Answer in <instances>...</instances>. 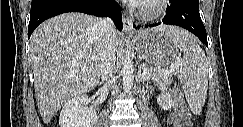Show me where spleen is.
Instances as JSON below:
<instances>
[{"label":"spleen","instance_id":"spleen-1","mask_svg":"<svg viewBox=\"0 0 243 127\" xmlns=\"http://www.w3.org/2000/svg\"><path fill=\"white\" fill-rule=\"evenodd\" d=\"M183 58L178 56L173 63L186 100L194 113H199L205 103L208 89V62L196 39L188 32L173 28L168 31Z\"/></svg>","mask_w":243,"mask_h":127}]
</instances>
